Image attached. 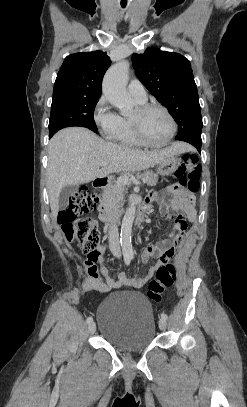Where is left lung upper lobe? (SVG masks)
Masks as SVG:
<instances>
[{"label": "left lung upper lobe", "instance_id": "1", "mask_svg": "<svg viewBox=\"0 0 247 407\" xmlns=\"http://www.w3.org/2000/svg\"><path fill=\"white\" fill-rule=\"evenodd\" d=\"M136 75L178 124L176 138L201 134L202 117L190 62L177 53L148 48L132 55Z\"/></svg>", "mask_w": 247, "mask_h": 407}]
</instances>
